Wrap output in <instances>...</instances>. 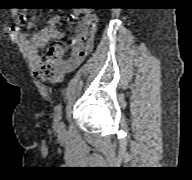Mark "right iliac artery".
Instances as JSON below:
<instances>
[{
	"mask_svg": "<svg viewBox=\"0 0 192 180\" xmlns=\"http://www.w3.org/2000/svg\"><path fill=\"white\" fill-rule=\"evenodd\" d=\"M62 117V106L59 104L55 109V119L54 125L57 127L58 122L61 120Z\"/></svg>",
	"mask_w": 192,
	"mask_h": 180,
	"instance_id": "right-iliac-artery-1",
	"label": "right iliac artery"
}]
</instances>
